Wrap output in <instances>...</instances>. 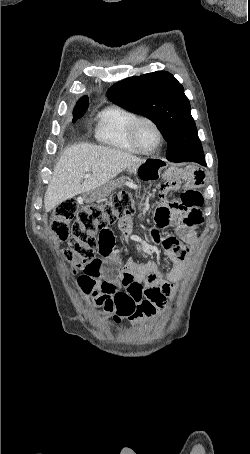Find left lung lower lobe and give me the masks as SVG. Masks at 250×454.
Instances as JSON below:
<instances>
[{
	"label": "left lung lower lobe",
	"instance_id": "obj_1",
	"mask_svg": "<svg viewBox=\"0 0 250 454\" xmlns=\"http://www.w3.org/2000/svg\"><path fill=\"white\" fill-rule=\"evenodd\" d=\"M169 161L172 162H197L203 166H206V162L204 159V155L202 156H193V155H185V156H179V157H172L168 159Z\"/></svg>",
	"mask_w": 250,
	"mask_h": 454
}]
</instances>
